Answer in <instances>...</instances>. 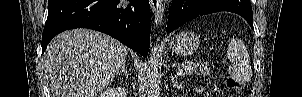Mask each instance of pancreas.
Instances as JSON below:
<instances>
[{"instance_id": "1", "label": "pancreas", "mask_w": 302, "mask_h": 97, "mask_svg": "<svg viewBox=\"0 0 302 97\" xmlns=\"http://www.w3.org/2000/svg\"><path fill=\"white\" fill-rule=\"evenodd\" d=\"M181 67L185 70V75H190L193 72L197 71L199 68V63L193 61H185L181 64Z\"/></svg>"}]
</instances>
